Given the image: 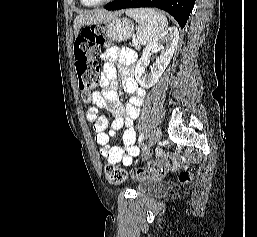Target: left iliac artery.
I'll list each match as a JSON object with an SVG mask.
<instances>
[{"instance_id":"44dca946","label":"left iliac artery","mask_w":257,"mask_h":237,"mask_svg":"<svg viewBox=\"0 0 257 237\" xmlns=\"http://www.w3.org/2000/svg\"><path fill=\"white\" fill-rule=\"evenodd\" d=\"M144 140V134L142 133L138 138V143H141Z\"/></svg>"}]
</instances>
